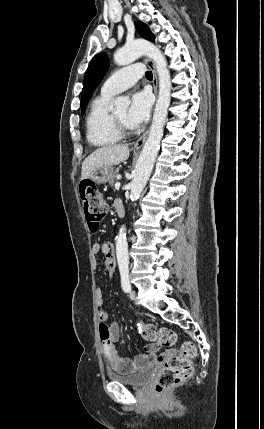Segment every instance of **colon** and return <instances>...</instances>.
I'll return each instance as SVG.
<instances>
[{"mask_svg": "<svg viewBox=\"0 0 264 429\" xmlns=\"http://www.w3.org/2000/svg\"><path fill=\"white\" fill-rule=\"evenodd\" d=\"M79 190L88 225L92 231H96L107 213L108 205L91 181H82ZM138 328L145 340L158 347H171L177 343V334L169 328H158L146 323H140ZM195 355L196 348L191 342H183L178 353L169 354L155 380L156 393L163 394L186 380L192 374V359Z\"/></svg>", "mask_w": 264, "mask_h": 429, "instance_id": "obj_1", "label": "colon"}]
</instances>
